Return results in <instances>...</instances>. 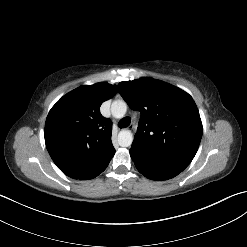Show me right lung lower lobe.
I'll return each mask as SVG.
<instances>
[{"mask_svg": "<svg viewBox=\"0 0 247 247\" xmlns=\"http://www.w3.org/2000/svg\"><path fill=\"white\" fill-rule=\"evenodd\" d=\"M114 153H115V151H113L101 164H99L92 171L88 172L87 174H85V175H83L81 177L74 178V179L86 180V179L95 178L96 176H98L100 173H102L106 169V167L108 166V164H109L110 160L112 159Z\"/></svg>", "mask_w": 247, "mask_h": 247, "instance_id": "1", "label": "right lung lower lobe"}]
</instances>
